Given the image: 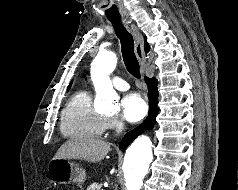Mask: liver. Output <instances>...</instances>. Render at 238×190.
<instances>
[{"mask_svg": "<svg viewBox=\"0 0 238 190\" xmlns=\"http://www.w3.org/2000/svg\"><path fill=\"white\" fill-rule=\"evenodd\" d=\"M109 151L110 143L103 140L72 137L58 149L52 160L78 159L96 163L103 160Z\"/></svg>", "mask_w": 238, "mask_h": 190, "instance_id": "1", "label": "liver"}]
</instances>
